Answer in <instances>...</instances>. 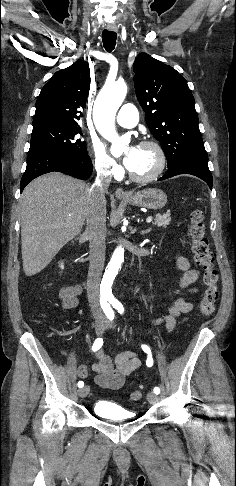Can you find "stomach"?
I'll return each instance as SVG.
<instances>
[{"mask_svg": "<svg viewBox=\"0 0 236 486\" xmlns=\"http://www.w3.org/2000/svg\"><path fill=\"white\" fill-rule=\"evenodd\" d=\"M122 201L133 206L158 210L166 205L167 196L161 189L147 188L132 194L127 199H122Z\"/></svg>", "mask_w": 236, "mask_h": 486, "instance_id": "0dacf381", "label": "stomach"}]
</instances>
